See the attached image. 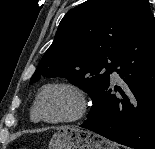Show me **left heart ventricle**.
I'll return each instance as SVG.
<instances>
[{
    "instance_id": "obj_1",
    "label": "left heart ventricle",
    "mask_w": 155,
    "mask_h": 149,
    "mask_svg": "<svg viewBox=\"0 0 155 149\" xmlns=\"http://www.w3.org/2000/svg\"><path fill=\"white\" fill-rule=\"evenodd\" d=\"M77 107L75 95L65 89L48 90L40 101V111L48 119H58L71 116Z\"/></svg>"
}]
</instances>
